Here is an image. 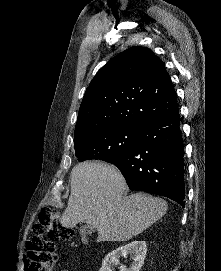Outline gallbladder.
<instances>
[{"mask_svg": "<svg viewBox=\"0 0 221 271\" xmlns=\"http://www.w3.org/2000/svg\"><path fill=\"white\" fill-rule=\"evenodd\" d=\"M95 229L96 227H93V225H88V223H83V225H80L79 233L81 235L82 241H85L86 235H88V233H93Z\"/></svg>", "mask_w": 221, "mask_h": 271, "instance_id": "bac80fb5", "label": "gallbladder"}]
</instances>
